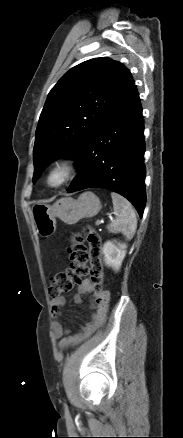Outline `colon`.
<instances>
[{"mask_svg":"<svg viewBox=\"0 0 183 438\" xmlns=\"http://www.w3.org/2000/svg\"><path fill=\"white\" fill-rule=\"evenodd\" d=\"M68 252L70 266L67 271L52 277L49 286L51 297L56 298L69 292L85 276H90L94 291L101 293L103 291V270L99 235L90 227L84 228L82 232L73 233Z\"/></svg>","mask_w":183,"mask_h":438,"instance_id":"colon-1","label":"colon"}]
</instances>
